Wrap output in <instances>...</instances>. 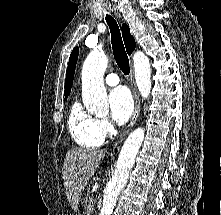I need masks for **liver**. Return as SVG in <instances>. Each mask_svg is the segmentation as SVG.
<instances>
[{
    "label": "liver",
    "instance_id": "obj_1",
    "mask_svg": "<svg viewBox=\"0 0 221 215\" xmlns=\"http://www.w3.org/2000/svg\"><path fill=\"white\" fill-rule=\"evenodd\" d=\"M103 158V151L98 149L72 148L68 150L62 174L68 202L75 212L78 210L83 189Z\"/></svg>",
    "mask_w": 221,
    "mask_h": 215
}]
</instances>
